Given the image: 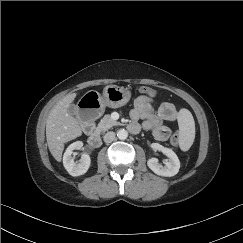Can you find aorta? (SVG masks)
I'll return each mask as SVG.
<instances>
[{
	"mask_svg": "<svg viewBox=\"0 0 243 243\" xmlns=\"http://www.w3.org/2000/svg\"><path fill=\"white\" fill-rule=\"evenodd\" d=\"M117 137L121 140H125L128 137V132L125 129H120L117 132Z\"/></svg>",
	"mask_w": 243,
	"mask_h": 243,
	"instance_id": "762f6f07",
	"label": "aorta"
}]
</instances>
